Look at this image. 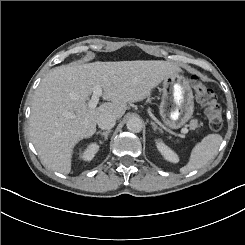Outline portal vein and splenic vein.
<instances>
[{
  "mask_svg": "<svg viewBox=\"0 0 245 245\" xmlns=\"http://www.w3.org/2000/svg\"><path fill=\"white\" fill-rule=\"evenodd\" d=\"M100 96H102V88L100 86H97L96 89L93 91V95L91 97V100L88 103V107L90 109L96 108ZM71 117H73V115ZM181 133H183V134L188 133V129L186 127L182 128Z\"/></svg>",
  "mask_w": 245,
  "mask_h": 245,
  "instance_id": "18ae733b",
  "label": "portal vein and splenic vein"
}]
</instances>
